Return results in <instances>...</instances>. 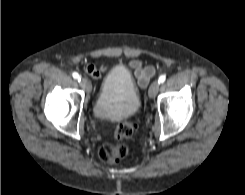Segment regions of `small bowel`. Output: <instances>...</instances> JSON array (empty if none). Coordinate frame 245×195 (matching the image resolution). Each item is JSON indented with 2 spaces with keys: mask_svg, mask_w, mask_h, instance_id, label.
Here are the masks:
<instances>
[{
  "mask_svg": "<svg viewBox=\"0 0 245 195\" xmlns=\"http://www.w3.org/2000/svg\"><path fill=\"white\" fill-rule=\"evenodd\" d=\"M129 66L134 71V76L138 84L142 87L146 86L148 81L155 74V69L152 66H143V63L140 60H132L129 63ZM106 66H94L93 64H86L84 66V71L93 78L99 79L102 74L106 71Z\"/></svg>",
  "mask_w": 245,
  "mask_h": 195,
  "instance_id": "obj_1",
  "label": "small bowel"
}]
</instances>
